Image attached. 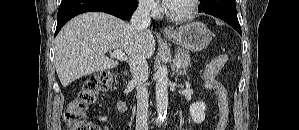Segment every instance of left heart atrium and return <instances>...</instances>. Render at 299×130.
I'll list each match as a JSON object with an SVG mask.
<instances>
[{"instance_id": "obj_1", "label": "left heart atrium", "mask_w": 299, "mask_h": 130, "mask_svg": "<svg viewBox=\"0 0 299 130\" xmlns=\"http://www.w3.org/2000/svg\"><path fill=\"white\" fill-rule=\"evenodd\" d=\"M176 0H164V3L169 6L172 5Z\"/></svg>"}]
</instances>
